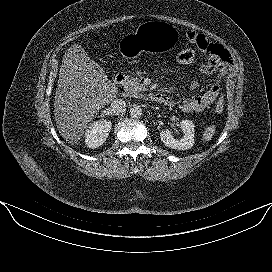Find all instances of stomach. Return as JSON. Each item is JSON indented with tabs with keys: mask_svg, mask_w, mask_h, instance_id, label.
<instances>
[{
	"mask_svg": "<svg viewBox=\"0 0 272 272\" xmlns=\"http://www.w3.org/2000/svg\"><path fill=\"white\" fill-rule=\"evenodd\" d=\"M179 41L175 26L163 21L141 23L133 34L122 39L120 50L127 59H134L143 52L156 53L172 49Z\"/></svg>",
	"mask_w": 272,
	"mask_h": 272,
	"instance_id": "1",
	"label": "stomach"
}]
</instances>
